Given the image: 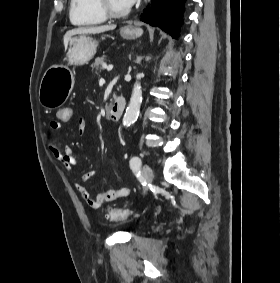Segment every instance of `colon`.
I'll use <instances>...</instances> for the list:
<instances>
[{
  "instance_id": "5ec220e1",
  "label": "colon",
  "mask_w": 280,
  "mask_h": 283,
  "mask_svg": "<svg viewBox=\"0 0 280 283\" xmlns=\"http://www.w3.org/2000/svg\"><path fill=\"white\" fill-rule=\"evenodd\" d=\"M74 108L72 105H61L57 108V116L59 122H72ZM130 215V211L125 208H113L110 209L107 218L110 221H121L126 219Z\"/></svg>"
}]
</instances>
